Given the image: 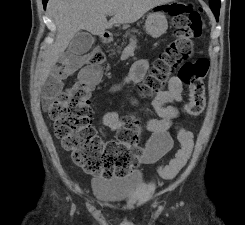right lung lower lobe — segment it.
<instances>
[{
	"label": "right lung lower lobe",
	"instance_id": "right-lung-lower-lobe-1",
	"mask_svg": "<svg viewBox=\"0 0 245 225\" xmlns=\"http://www.w3.org/2000/svg\"><path fill=\"white\" fill-rule=\"evenodd\" d=\"M48 2V0H43V6L44 8H46V3Z\"/></svg>",
	"mask_w": 245,
	"mask_h": 225
}]
</instances>
